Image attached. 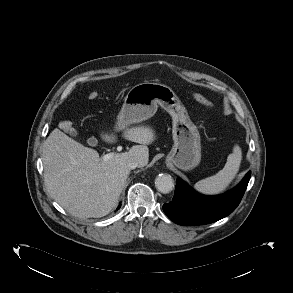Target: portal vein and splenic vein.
Wrapping results in <instances>:
<instances>
[{"mask_svg":"<svg viewBox=\"0 0 293 293\" xmlns=\"http://www.w3.org/2000/svg\"><path fill=\"white\" fill-rule=\"evenodd\" d=\"M121 150H122V146H118V147H117V151L120 152ZM114 155H115V153H114V152H111V153H108V154L104 155V156L102 157V159H103L104 161H107V160L113 158Z\"/></svg>","mask_w":293,"mask_h":293,"instance_id":"portal-vein-and-splenic-vein-1","label":"portal vein and splenic vein"}]
</instances>
